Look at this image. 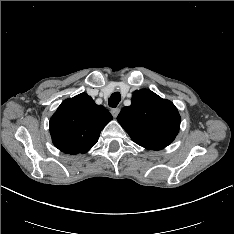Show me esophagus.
I'll return each mask as SVG.
<instances>
[{
	"label": "esophagus",
	"instance_id": "1",
	"mask_svg": "<svg viewBox=\"0 0 234 234\" xmlns=\"http://www.w3.org/2000/svg\"><path fill=\"white\" fill-rule=\"evenodd\" d=\"M119 113H120V108H114L111 110V114L113 115L114 118H116Z\"/></svg>",
	"mask_w": 234,
	"mask_h": 234
}]
</instances>
